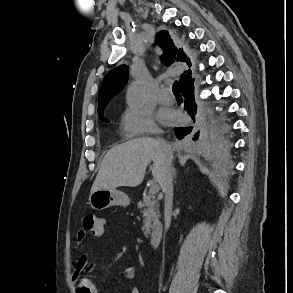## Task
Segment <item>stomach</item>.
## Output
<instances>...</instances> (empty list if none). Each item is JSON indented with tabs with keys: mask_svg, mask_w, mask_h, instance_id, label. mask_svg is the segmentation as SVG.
<instances>
[{
	"mask_svg": "<svg viewBox=\"0 0 293 293\" xmlns=\"http://www.w3.org/2000/svg\"><path fill=\"white\" fill-rule=\"evenodd\" d=\"M127 194L118 190H96L89 196V204L95 210H104L110 206H128Z\"/></svg>",
	"mask_w": 293,
	"mask_h": 293,
	"instance_id": "obj_1",
	"label": "stomach"
}]
</instances>
